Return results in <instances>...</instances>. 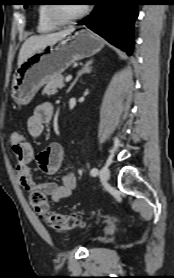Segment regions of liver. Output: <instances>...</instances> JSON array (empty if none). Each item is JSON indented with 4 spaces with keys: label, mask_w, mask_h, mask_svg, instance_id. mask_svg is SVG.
<instances>
[{
    "label": "liver",
    "mask_w": 174,
    "mask_h": 278,
    "mask_svg": "<svg viewBox=\"0 0 174 278\" xmlns=\"http://www.w3.org/2000/svg\"><path fill=\"white\" fill-rule=\"evenodd\" d=\"M74 30V27H69L68 29L56 33L29 37L25 40L20 49L18 56V67L37 49L57 42L62 37L71 34Z\"/></svg>",
    "instance_id": "1"
}]
</instances>
